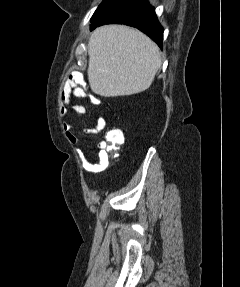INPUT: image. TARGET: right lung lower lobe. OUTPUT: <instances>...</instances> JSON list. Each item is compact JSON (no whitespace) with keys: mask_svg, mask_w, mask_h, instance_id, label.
Here are the masks:
<instances>
[{"mask_svg":"<svg viewBox=\"0 0 240 287\" xmlns=\"http://www.w3.org/2000/svg\"><path fill=\"white\" fill-rule=\"evenodd\" d=\"M92 23L91 30L104 24L136 27L162 47L163 28L147 0H111Z\"/></svg>","mask_w":240,"mask_h":287,"instance_id":"right-lung-lower-lobe-1","label":"right lung lower lobe"}]
</instances>
